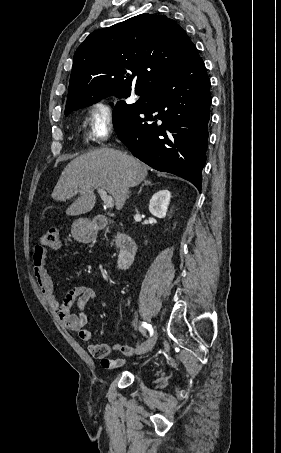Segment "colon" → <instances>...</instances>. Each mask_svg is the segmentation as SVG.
Instances as JSON below:
<instances>
[{"instance_id": "1", "label": "colon", "mask_w": 281, "mask_h": 453, "mask_svg": "<svg viewBox=\"0 0 281 453\" xmlns=\"http://www.w3.org/2000/svg\"><path fill=\"white\" fill-rule=\"evenodd\" d=\"M60 228L58 226H48L46 229L45 234L42 236L40 241L41 249H47L48 256L51 253L57 252L59 249L58 245V236H59Z\"/></svg>"}]
</instances>
